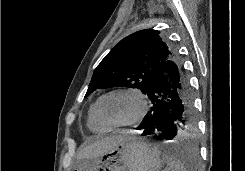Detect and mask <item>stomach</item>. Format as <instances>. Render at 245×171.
I'll use <instances>...</instances> for the list:
<instances>
[{
	"label": "stomach",
	"mask_w": 245,
	"mask_h": 171,
	"mask_svg": "<svg viewBox=\"0 0 245 171\" xmlns=\"http://www.w3.org/2000/svg\"><path fill=\"white\" fill-rule=\"evenodd\" d=\"M163 165L156 146L130 136L97 158L81 160L74 171H161Z\"/></svg>",
	"instance_id": "0dacf381"
}]
</instances>
